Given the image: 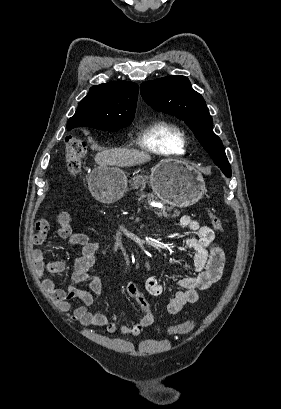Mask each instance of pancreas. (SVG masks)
<instances>
[{"label":"pancreas","mask_w":281,"mask_h":409,"mask_svg":"<svg viewBox=\"0 0 281 409\" xmlns=\"http://www.w3.org/2000/svg\"><path fill=\"white\" fill-rule=\"evenodd\" d=\"M137 196H139V200H143V198H148V200H155V202H158V200H156L154 194H152V192H149V194H145V192H137ZM173 207H164V209H161L160 213L162 215V217H171V215H169V211H172ZM180 213L179 211H174L172 217H179Z\"/></svg>","instance_id":"1"}]
</instances>
